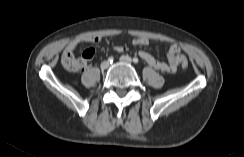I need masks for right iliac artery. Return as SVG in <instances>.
I'll return each instance as SVG.
<instances>
[{"instance_id":"right-iliac-artery-1","label":"right iliac artery","mask_w":244,"mask_h":157,"mask_svg":"<svg viewBox=\"0 0 244 157\" xmlns=\"http://www.w3.org/2000/svg\"><path fill=\"white\" fill-rule=\"evenodd\" d=\"M113 60H114V58L112 56L108 58V62H110V63H112Z\"/></svg>"}]
</instances>
